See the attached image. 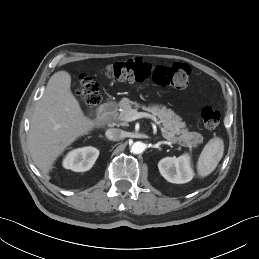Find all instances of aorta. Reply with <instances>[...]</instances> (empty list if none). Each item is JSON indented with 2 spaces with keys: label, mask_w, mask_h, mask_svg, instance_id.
<instances>
[{
  "label": "aorta",
  "mask_w": 259,
  "mask_h": 259,
  "mask_svg": "<svg viewBox=\"0 0 259 259\" xmlns=\"http://www.w3.org/2000/svg\"><path fill=\"white\" fill-rule=\"evenodd\" d=\"M145 150V144L143 142H135L131 145V152L133 154H140Z\"/></svg>",
  "instance_id": "aorta-1"
}]
</instances>
